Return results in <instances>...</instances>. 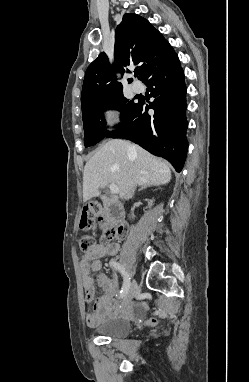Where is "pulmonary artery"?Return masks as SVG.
I'll return each instance as SVG.
<instances>
[{"label":"pulmonary artery","instance_id":"pulmonary-artery-1","mask_svg":"<svg viewBox=\"0 0 249 382\" xmlns=\"http://www.w3.org/2000/svg\"><path fill=\"white\" fill-rule=\"evenodd\" d=\"M132 86H133V89H134L135 91H140L141 88H142V84H141L140 82H138V81H135V82L132 84Z\"/></svg>","mask_w":249,"mask_h":382}]
</instances>
